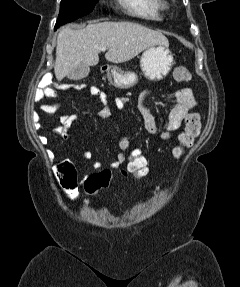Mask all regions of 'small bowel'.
Segmentation results:
<instances>
[{"instance_id":"small-bowel-1","label":"small bowel","mask_w":240,"mask_h":287,"mask_svg":"<svg viewBox=\"0 0 240 287\" xmlns=\"http://www.w3.org/2000/svg\"><path fill=\"white\" fill-rule=\"evenodd\" d=\"M90 93L94 97L98 98L103 104L102 109L98 113L99 118L103 121L111 117L112 105H114L118 110L123 111L128 104V98L123 96H112L110 100L109 96L105 92L94 86L90 88ZM148 96L149 92L144 91L139 98V111L143 119L144 128L149 135L158 136L163 141L170 140L182 129L183 122L185 121L187 115L198 104V101L191 89L182 88L178 90L175 95V104L163 123V128L165 131L158 133L155 118L147 105ZM56 97L57 92L55 90V86H44L36 90L34 94V101L39 104V109L42 112L46 114H57L63 108L60 104L43 103L44 99ZM34 119L35 121H38L39 115L35 114ZM59 122L60 124L54 128L53 131L62 139L68 140V131L77 122V116L74 114H61L59 117ZM41 140L43 143H47L48 141L46 137H42ZM129 148L130 146L127 138L122 136L120 139L119 152L116 158L104 170L112 173L114 170L125 166ZM92 156V152L89 150H84L81 152V157L84 160H90L92 159ZM101 168L102 163L100 161L93 162V170L97 171ZM121 173L125 175V169L121 170ZM76 196L77 192L75 190L69 192V198L71 200H74Z\"/></svg>"}]
</instances>
